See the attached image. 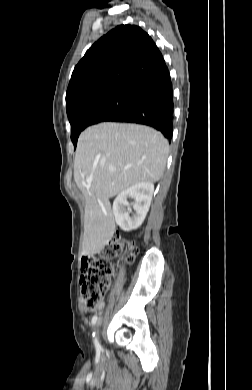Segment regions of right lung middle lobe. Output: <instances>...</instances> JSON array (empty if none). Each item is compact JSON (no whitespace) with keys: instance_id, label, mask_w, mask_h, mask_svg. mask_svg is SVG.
<instances>
[{"instance_id":"dd1d6c3e","label":"right lung middle lobe","mask_w":252,"mask_h":390,"mask_svg":"<svg viewBox=\"0 0 252 390\" xmlns=\"http://www.w3.org/2000/svg\"><path fill=\"white\" fill-rule=\"evenodd\" d=\"M134 96L111 95L82 104L67 113L71 124V140L76 147L80 133L88 126L104 122L113 115L126 109Z\"/></svg>"}]
</instances>
